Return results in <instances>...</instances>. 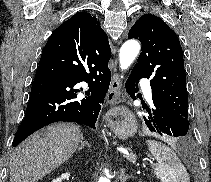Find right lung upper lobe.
<instances>
[{
	"mask_svg": "<svg viewBox=\"0 0 211 182\" xmlns=\"http://www.w3.org/2000/svg\"><path fill=\"white\" fill-rule=\"evenodd\" d=\"M61 26H66L70 30L78 45L96 46L102 53L111 54L108 37L95 16L87 12H79Z\"/></svg>",
	"mask_w": 211,
	"mask_h": 182,
	"instance_id": "obj_1",
	"label": "right lung upper lobe"
}]
</instances>
